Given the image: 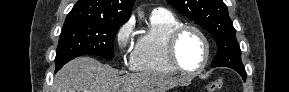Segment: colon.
<instances>
[{"label": "colon", "instance_id": "1", "mask_svg": "<svg viewBox=\"0 0 289 92\" xmlns=\"http://www.w3.org/2000/svg\"><path fill=\"white\" fill-rule=\"evenodd\" d=\"M222 86L223 82L221 80H216L207 86V91L209 92L219 91L222 88Z\"/></svg>", "mask_w": 289, "mask_h": 92}]
</instances>
